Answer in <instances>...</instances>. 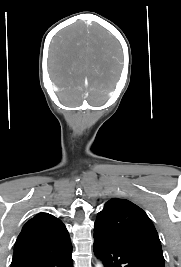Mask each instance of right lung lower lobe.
<instances>
[{"mask_svg":"<svg viewBox=\"0 0 181 267\" xmlns=\"http://www.w3.org/2000/svg\"><path fill=\"white\" fill-rule=\"evenodd\" d=\"M71 249L47 256L21 257L12 260L11 267H73Z\"/></svg>","mask_w":181,"mask_h":267,"instance_id":"98d812e1","label":"right lung lower lobe"}]
</instances>
